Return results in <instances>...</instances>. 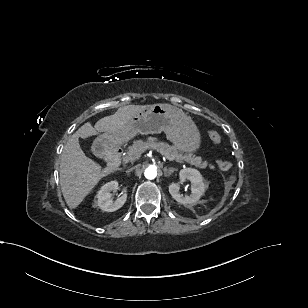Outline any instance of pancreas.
Here are the masks:
<instances>
[{
    "label": "pancreas",
    "mask_w": 308,
    "mask_h": 308,
    "mask_svg": "<svg viewBox=\"0 0 308 308\" xmlns=\"http://www.w3.org/2000/svg\"><path fill=\"white\" fill-rule=\"evenodd\" d=\"M147 149H155L163 155L175 157L177 159H182L201 169H204L208 166V162L202 161L201 157H195L192 154L183 155L177 151L175 146H170L165 142H156L155 140L152 139L148 141H143V140L134 141L133 144L128 147L127 152L122 159L125 163L134 162ZM209 166L210 168H212L211 165Z\"/></svg>",
    "instance_id": "pancreas-1"
}]
</instances>
